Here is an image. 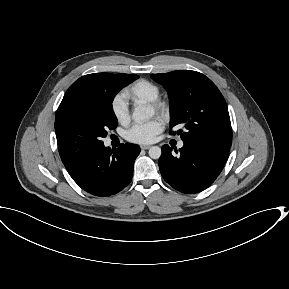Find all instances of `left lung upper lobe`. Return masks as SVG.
Instances as JSON below:
<instances>
[{
  "mask_svg": "<svg viewBox=\"0 0 289 289\" xmlns=\"http://www.w3.org/2000/svg\"><path fill=\"white\" fill-rule=\"evenodd\" d=\"M151 77L168 91L170 128L184 126V131H177L183 141L231 146L232 129L227 104L209 78L189 70L151 74Z\"/></svg>",
  "mask_w": 289,
  "mask_h": 289,
  "instance_id": "1",
  "label": "left lung upper lobe"
}]
</instances>
